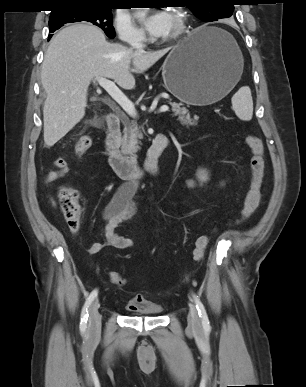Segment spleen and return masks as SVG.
Returning a JSON list of instances; mask_svg holds the SVG:
<instances>
[{
  "label": "spleen",
  "instance_id": "obj_1",
  "mask_svg": "<svg viewBox=\"0 0 306 387\" xmlns=\"http://www.w3.org/2000/svg\"><path fill=\"white\" fill-rule=\"evenodd\" d=\"M232 109L243 121H250L253 115V100L248 86L241 87L232 97Z\"/></svg>",
  "mask_w": 306,
  "mask_h": 387
}]
</instances>
